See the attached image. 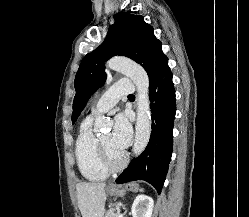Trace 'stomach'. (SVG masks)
<instances>
[{"label": "stomach", "instance_id": "stomach-1", "mask_svg": "<svg viewBox=\"0 0 249 217\" xmlns=\"http://www.w3.org/2000/svg\"><path fill=\"white\" fill-rule=\"evenodd\" d=\"M107 193L112 196H124L127 191L136 192L138 185L136 183H130L126 186L111 185L107 187Z\"/></svg>", "mask_w": 249, "mask_h": 217}]
</instances>
